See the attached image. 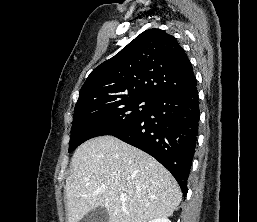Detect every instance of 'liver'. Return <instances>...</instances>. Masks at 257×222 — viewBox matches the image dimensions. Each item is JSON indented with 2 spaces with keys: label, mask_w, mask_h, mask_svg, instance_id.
Instances as JSON below:
<instances>
[{
  "label": "liver",
  "mask_w": 257,
  "mask_h": 222,
  "mask_svg": "<svg viewBox=\"0 0 257 222\" xmlns=\"http://www.w3.org/2000/svg\"><path fill=\"white\" fill-rule=\"evenodd\" d=\"M121 194L127 199L122 201ZM67 222L105 207L109 222H149L170 217L182 200L171 173L142 150L113 136L80 145L66 179Z\"/></svg>",
  "instance_id": "1"
}]
</instances>
